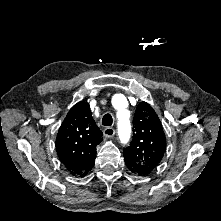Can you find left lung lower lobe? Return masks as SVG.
<instances>
[{
    "mask_svg": "<svg viewBox=\"0 0 221 221\" xmlns=\"http://www.w3.org/2000/svg\"><path fill=\"white\" fill-rule=\"evenodd\" d=\"M125 163L127 165V167L129 168L130 171H132L135 174H139V175H145L146 173L143 172L142 170H140V167L138 166L137 163H135L133 160L129 159L128 157H125Z\"/></svg>",
    "mask_w": 221,
    "mask_h": 221,
    "instance_id": "1",
    "label": "left lung lower lobe"
}]
</instances>
